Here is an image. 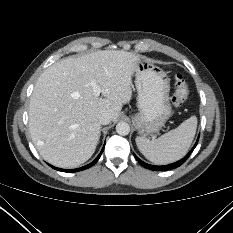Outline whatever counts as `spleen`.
Returning a JSON list of instances; mask_svg holds the SVG:
<instances>
[{
    "label": "spleen",
    "instance_id": "spleen-1",
    "mask_svg": "<svg viewBox=\"0 0 233 233\" xmlns=\"http://www.w3.org/2000/svg\"><path fill=\"white\" fill-rule=\"evenodd\" d=\"M197 128V117L191 116L177 128L155 140L136 137L139 151L155 164H168L181 159L188 152Z\"/></svg>",
    "mask_w": 233,
    "mask_h": 233
}]
</instances>
